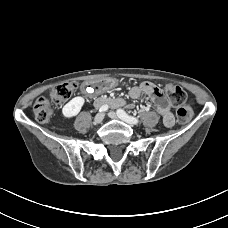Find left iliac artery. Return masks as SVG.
<instances>
[{
  "mask_svg": "<svg viewBox=\"0 0 228 228\" xmlns=\"http://www.w3.org/2000/svg\"><path fill=\"white\" fill-rule=\"evenodd\" d=\"M117 115L120 119L130 123V124H138L139 120L136 117L128 115L123 109L117 110Z\"/></svg>",
  "mask_w": 228,
  "mask_h": 228,
  "instance_id": "obj_1",
  "label": "left iliac artery"
}]
</instances>
